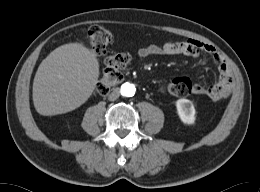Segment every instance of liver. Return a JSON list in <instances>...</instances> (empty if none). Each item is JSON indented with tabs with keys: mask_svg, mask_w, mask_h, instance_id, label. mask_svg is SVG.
Masks as SVG:
<instances>
[{
	"mask_svg": "<svg viewBox=\"0 0 260 192\" xmlns=\"http://www.w3.org/2000/svg\"><path fill=\"white\" fill-rule=\"evenodd\" d=\"M99 77L96 54L82 43L64 44L39 65L33 81V103L44 116L70 112L92 95Z\"/></svg>",
	"mask_w": 260,
	"mask_h": 192,
	"instance_id": "1",
	"label": "liver"
}]
</instances>
